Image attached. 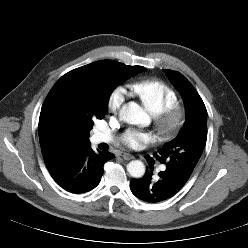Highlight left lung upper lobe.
I'll use <instances>...</instances> for the list:
<instances>
[{
  "instance_id": "left-lung-upper-lobe-1",
  "label": "left lung upper lobe",
  "mask_w": 248,
  "mask_h": 248,
  "mask_svg": "<svg viewBox=\"0 0 248 248\" xmlns=\"http://www.w3.org/2000/svg\"><path fill=\"white\" fill-rule=\"evenodd\" d=\"M181 93L186 107V122L178 137L166 143L155 157L166 162V170L185 185L196 167L207 139V110L192 84L179 72L164 70Z\"/></svg>"
}]
</instances>
